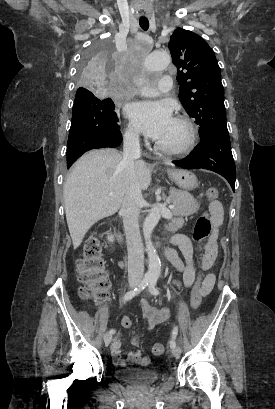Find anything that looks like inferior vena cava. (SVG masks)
Listing matches in <instances>:
<instances>
[{
  "mask_svg": "<svg viewBox=\"0 0 275 409\" xmlns=\"http://www.w3.org/2000/svg\"><path fill=\"white\" fill-rule=\"evenodd\" d=\"M122 162L126 168V192L124 194L121 215L123 217L128 251V277L131 281H142L144 275V251L140 237L138 217L140 215L141 186L135 172V158H139L141 148L139 132L127 130L123 138Z\"/></svg>",
  "mask_w": 275,
  "mask_h": 409,
  "instance_id": "obj_1",
  "label": "inferior vena cava"
}]
</instances>
